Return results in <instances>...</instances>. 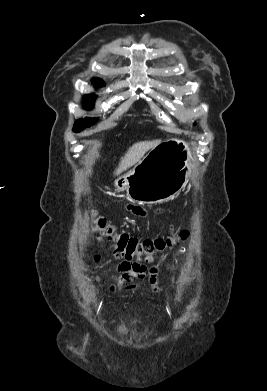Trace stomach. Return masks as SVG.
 I'll return each instance as SVG.
<instances>
[{"label": "stomach", "instance_id": "stomach-1", "mask_svg": "<svg viewBox=\"0 0 267 391\" xmlns=\"http://www.w3.org/2000/svg\"><path fill=\"white\" fill-rule=\"evenodd\" d=\"M193 167L189 144L171 139L154 147L133 170L119 177L114 186L119 192L125 191L135 203L157 204L180 193Z\"/></svg>", "mask_w": 267, "mask_h": 391}]
</instances>
